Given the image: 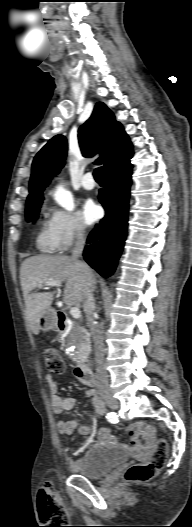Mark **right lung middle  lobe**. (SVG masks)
Masks as SVG:
<instances>
[{
	"instance_id": "1",
	"label": "right lung middle lobe",
	"mask_w": 192,
	"mask_h": 527,
	"mask_svg": "<svg viewBox=\"0 0 192 527\" xmlns=\"http://www.w3.org/2000/svg\"><path fill=\"white\" fill-rule=\"evenodd\" d=\"M42 201L36 202L31 205L26 206V220L29 221L30 219H36L41 206Z\"/></svg>"
}]
</instances>
